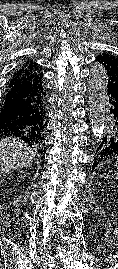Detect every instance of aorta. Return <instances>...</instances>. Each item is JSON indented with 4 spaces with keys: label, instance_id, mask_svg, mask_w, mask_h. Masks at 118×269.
<instances>
[{
    "label": "aorta",
    "instance_id": "obj_1",
    "mask_svg": "<svg viewBox=\"0 0 118 269\" xmlns=\"http://www.w3.org/2000/svg\"><path fill=\"white\" fill-rule=\"evenodd\" d=\"M88 84L92 130L94 135L101 138L106 127L108 84L107 73L103 66L92 67Z\"/></svg>",
    "mask_w": 118,
    "mask_h": 269
}]
</instances>
